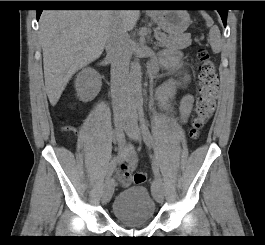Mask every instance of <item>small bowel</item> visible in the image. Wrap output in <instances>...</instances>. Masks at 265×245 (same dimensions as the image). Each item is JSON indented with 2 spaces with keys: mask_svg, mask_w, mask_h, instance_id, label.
<instances>
[{
  "mask_svg": "<svg viewBox=\"0 0 265 245\" xmlns=\"http://www.w3.org/2000/svg\"><path fill=\"white\" fill-rule=\"evenodd\" d=\"M171 74H179L184 71V65L180 62L177 55H172L168 59L163 60L159 64ZM158 67L157 63L151 65L152 69ZM180 83L177 79L169 78L157 90V101L159 106L171 112L178 100V108L182 122H186L192 112L194 98L190 94H185L178 98ZM137 165V156L133 146H125L120 150L117 160L114 162L110 170V174L116 176L122 186H129L132 183L133 171Z\"/></svg>",
  "mask_w": 265,
  "mask_h": 245,
  "instance_id": "1",
  "label": "small bowel"
}]
</instances>
